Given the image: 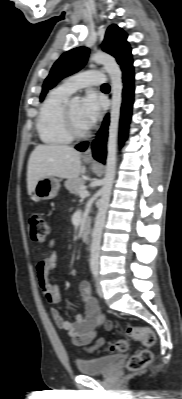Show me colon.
Returning a JSON list of instances; mask_svg holds the SVG:
<instances>
[{"mask_svg":"<svg viewBox=\"0 0 182 399\" xmlns=\"http://www.w3.org/2000/svg\"><path fill=\"white\" fill-rule=\"evenodd\" d=\"M29 229L31 239L35 242H44L50 233L49 222L38 212L30 214ZM127 334L130 338L139 341L144 346V348L132 355L127 363L129 371H140L152 360V352L149 350V347L155 344V334L150 328L145 326H130L127 329ZM129 346V339L123 338L111 343L108 350L113 353L124 352Z\"/></svg>","mask_w":182,"mask_h":399,"instance_id":"1","label":"colon"}]
</instances>
